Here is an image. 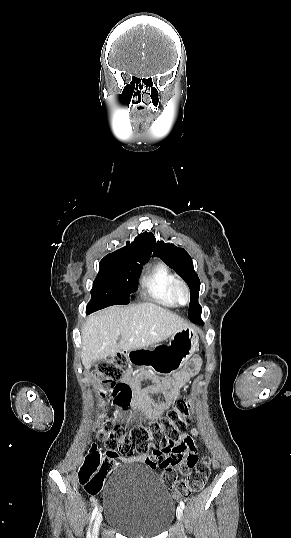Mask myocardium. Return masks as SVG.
Listing matches in <instances>:
<instances>
[{
	"mask_svg": "<svg viewBox=\"0 0 291 538\" xmlns=\"http://www.w3.org/2000/svg\"><path fill=\"white\" fill-rule=\"evenodd\" d=\"M171 290H172L173 299L177 305L186 306L190 303L191 301L190 289L183 280L175 279Z\"/></svg>",
	"mask_w": 291,
	"mask_h": 538,
	"instance_id": "1",
	"label": "myocardium"
}]
</instances>
